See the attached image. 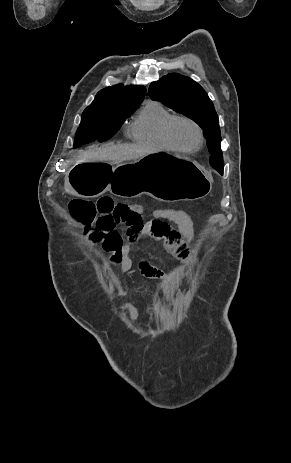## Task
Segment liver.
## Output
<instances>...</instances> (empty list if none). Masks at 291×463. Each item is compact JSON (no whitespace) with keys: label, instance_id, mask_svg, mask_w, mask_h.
Listing matches in <instances>:
<instances>
[{"label":"liver","instance_id":"liver-1","mask_svg":"<svg viewBox=\"0 0 291 463\" xmlns=\"http://www.w3.org/2000/svg\"><path fill=\"white\" fill-rule=\"evenodd\" d=\"M154 152L152 147L134 144L93 146L80 153L78 163L111 162L116 165L127 160H138Z\"/></svg>","mask_w":291,"mask_h":463}]
</instances>
